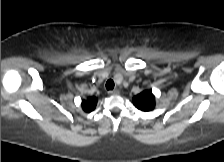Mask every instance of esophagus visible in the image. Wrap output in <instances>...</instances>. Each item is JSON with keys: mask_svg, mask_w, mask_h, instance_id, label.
Here are the masks:
<instances>
[{"mask_svg": "<svg viewBox=\"0 0 224 162\" xmlns=\"http://www.w3.org/2000/svg\"><path fill=\"white\" fill-rule=\"evenodd\" d=\"M109 95H116V94H119V90L118 89H114V90H110L108 92Z\"/></svg>", "mask_w": 224, "mask_h": 162, "instance_id": "1", "label": "esophagus"}]
</instances>
